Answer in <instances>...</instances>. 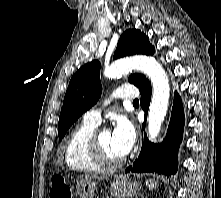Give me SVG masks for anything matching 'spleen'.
<instances>
[{
    "mask_svg": "<svg viewBox=\"0 0 221 198\" xmlns=\"http://www.w3.org/2000/svg\"><path fill=\"white\" fill-rule=\"evenodd\" d=\"M146 185H148V187L150 189H154L157 186V183H154L151 179L146 181Z\"/></svg>",
    "mask_w": 221,
    "mask_h": 198,
    "instance_id": "1",
    "label": "spleen"
}]
</instances>
